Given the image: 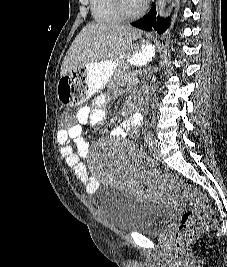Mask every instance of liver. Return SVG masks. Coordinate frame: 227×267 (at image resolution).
Returning <instances> with one entry per match:
<instances>
[{"instance_id": "1", "label": "liver", "mask_w": 227, "mask_h": 267, "mask_svg": "<svg viewBox=\"0 0 227 267\" xmlns=\"http://www.w3.org/2000/svg\"><path fill=\"white\" fill-rule=\"evenodd\" d=\"M139 35L140 31L129 25L87 24L69 48L61 66L60 76L80 66L120 56Z\"/></svg>"}]
</instances>
